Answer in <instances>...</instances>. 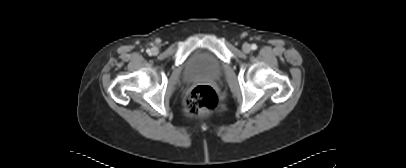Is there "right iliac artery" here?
Instances as JSON below:
<instances>
[{"mask_svg": "<svg viewBox=\"0 0 406 168\" xmlns=\"http://www.w3.org/2000/svg\"><path fill=\"white\" fill-rule=\"evenodd\" d=\"M146 52H147V53H150V50H149V49H147V50H146Z\"/></svg>", "mask_w": 406, "mask_h": 168, "instance_id": "82829eb1", "label": "right iliac artery"}]
</instances>
